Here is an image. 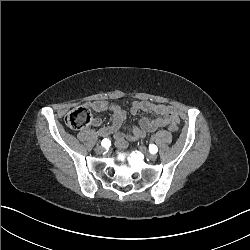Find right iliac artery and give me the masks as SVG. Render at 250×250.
<instances>
[{
    "label": "right iliac artery",
    "instance_id": "obj_1",
    "mask_svg": "<svg viewBox=\"0 0 250 250\" xmlns=\"http://www.w3.org/2000/svg\"><path fill=\"white\" fill-rule=\"evenodd\" d=\"M101 145L105 148L109 147L111 145V141L107 138L103 139L101 142Z\"/></svg>",
    "mask_w": 250,
    "mask_h": 250
}]
</instances>
